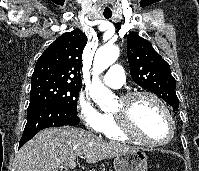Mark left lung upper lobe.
Segmentation results:
<instances>
[{"mask_svg":"<svg viewBox=\"0 0 199 171\" xmlns=\"http://www.w3.org/2000/svg\"><path fill=\"white\" fill-rule=\"evenodd\" d=\"M127 56L132 79L140 86L151 90L176 111L179 99L176 81L169 64L152 47V44L136 33L127 37Z\"/></svg>","mask_w":199,"mask_h":171,"instance_id":"5c2ea615","label":"left lung upper lobe"}]
</instances>
